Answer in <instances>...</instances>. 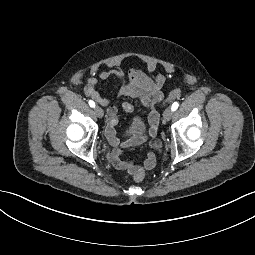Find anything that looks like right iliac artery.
Instances as JSON below:
<instances>
[{
  "label": "right iliac artery",
  "mask_w": 255,
  "mask_h": 255,
  "mask_svg": "<svg viewBox=\"0 0 255 255\" xmlns=\"http://www.w3.org/2000/svg\"><path fill=\"white\" fill-rule=\"evenodd\" d=\"M89 105H90V107H95V102L92 101V100H90V101H89Z\"/></svg>",
  "instance_id": "82829eb1"
}]
</instances>
